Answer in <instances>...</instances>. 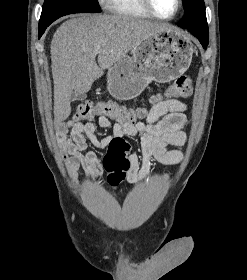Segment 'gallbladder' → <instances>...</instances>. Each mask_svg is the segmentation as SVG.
<instances>
[{
    "label": "gallbladder",
    "mask_w": 247,
    "mask_h": 280,
    "mask_svg": "<svg viewBox=\"0 0 247 280\" xmlns=\"http://www.w3.org/2000/svg\"><path fill=\"white\" fill-rule=\"evenodd\" d=\"M76 99H85V95H75V94H73L72 95V97H71V101H74V100H76Z\"/></svg>",
    "instance_id": "obj_1"
}]
</instances>
